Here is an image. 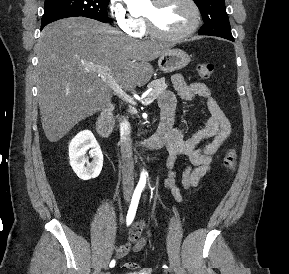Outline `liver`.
<instances>
[{"label": "liver", "mask_w": 289, "mask_h": 274, "mask_svg": "<svg viewBox=\"0 0 289 274\" xmlns=\"http://www.w3.org/2000/svg\"><path fill=\"white\" fill-rule=\"evenodd\" d=\"M35 50L42 127L47 139L57 142L112 98L110 86L94 66L108 67L116 82L130 91L151 79L149 62L169 46L135 40L95 20L73 17L47 25Z\"/></svg>", "instance_id": "1"}]
</instances>
